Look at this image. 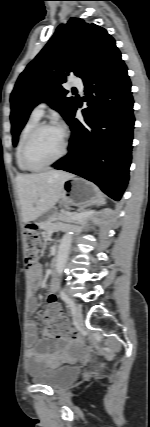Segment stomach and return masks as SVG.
Returning a JSON list of instances; mask_svg holds the SVG:
<instances>
[{
	"label": "stomach",
	"instance_id": "1",
	"mask_svg": "<svg viewBox=\"0 0 150 427\" xmlns=\"http://www.w3.org/2000/svg\"><path fill=\"white\" fill-rule=\"evenodd\" d=\"M100 197L97 188L83 179L72 177L63 184L61 200L67 206L91 205L98 202Z\"/></svg>",
	"mask_w": 150,
	"mask_h": 427
}]
</instances>
